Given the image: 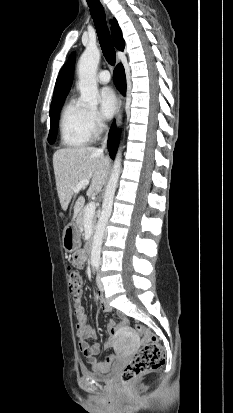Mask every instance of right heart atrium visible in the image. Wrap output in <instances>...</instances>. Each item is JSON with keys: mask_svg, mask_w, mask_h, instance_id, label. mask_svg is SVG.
Wrapping results in <instances>:
<instances>
[{"mask_svg": "<svg viewBox=\"0 0 233 413\" xmlns=\"http://www.w3.org/2000/svg\"><path fill=\"white\" fill-rule=\"evenodd\" d=\"M88 119L93 133H99L104 128V122L95 110H89Z\"/></svg>", "mask_w": 233, "mask_h": 413, "instance_id": "1", "label": "right heart atrium"}]
</instances>
